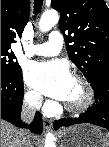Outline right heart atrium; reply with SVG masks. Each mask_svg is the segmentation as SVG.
<instances>
[{"instance_id": "obj_1", "label": "right heart atrium", "mask_w": 109, "mask_h": 147, "mask_svg": "<svg viewBox=\"0 0 109 147\" xmlns=\"http://www.w3.org/2000/svg\"><path fill=\"white\" fill-rule=\"evenodd\" d=\"M25 99L34 108H39L42 101L40 94L34 90H27L25 92Z\"/></svg>"}]
</instances>
